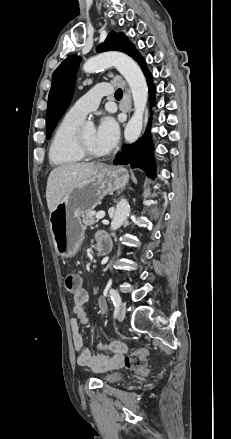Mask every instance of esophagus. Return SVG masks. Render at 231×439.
<instances>
[{
	"label": "esophagus",
	"instance_id": "34e87169",
	"mask_svg": "<svg viewBox=\"0 0 231 439\" xmlns=\"http://www.w3.org/2000/svg\"><path fill=\"white\" fill-rule=\"evenodd\" d=\"M126 100H127L129 111H130V109H131V96H130L129 91H127V93H126Z\"/></svg>",
	"mask_w": 231,
	"mask_h": 439
}]
</instances>
